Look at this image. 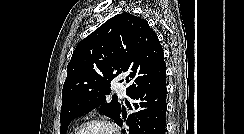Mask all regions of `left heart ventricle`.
<instances>
[{
	"label": "left heart ventricle",
	"mask_w": 244,
	"mask_h": 134,
	"mask_svg": "<svg viewBox=\"0 0 244 134\" xmlns=\"http://www.w3.org/2000/svg\"><path fill=\"white\" fill-rule=\"evenodd\" d=\"M79 134H111L107 129L101 126H89L83 129Z\"/></svg>",
	"instance_id": "1"
}]
</instances>
